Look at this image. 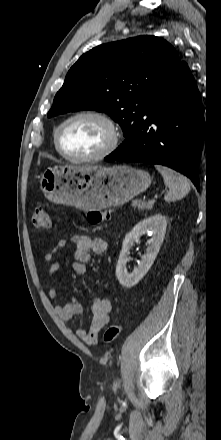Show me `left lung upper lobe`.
Listing matches in <instances>:
<instances>
[{
	"label": "left lung upper lobe",
	"instance_id": "obj_1",
	"mask_svg": "<svg viewBox=\"0 0 221 440\" xmlns=\"http://www.w3.org/2000/svg\"><path fill=\"white\" fill-rule=\"evenodd\" d=\"M180 63L173 46L160 37L99 45L70 68L48 117L77 110L105 112L123 130L126 140L120 148L130 139L149 100Z\"/></svg>",
	"mask_w": 221,
	"mask_h": 440
}]
</instances>
